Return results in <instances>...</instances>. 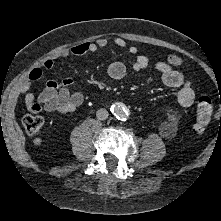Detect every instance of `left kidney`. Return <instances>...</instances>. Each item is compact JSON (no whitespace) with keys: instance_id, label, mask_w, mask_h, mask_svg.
<instances>
[{"instance_id":"5707ae66","label":"left kidney","mask_w":221,"mask_h":221,"mask_svg":"<svg viewBox=\"0 0 221 221\" xmlns=\"http://www.w3.org/2000/svg\"><path fill=\"white\" fill-rule=\"evenodd\" d=\"M170 117H171V119H172V120H174V119H175L174 115H170Z\"/></svg>"}]
</instances>
